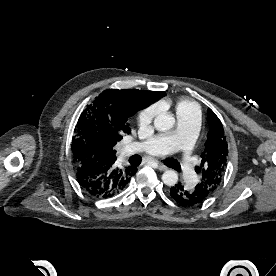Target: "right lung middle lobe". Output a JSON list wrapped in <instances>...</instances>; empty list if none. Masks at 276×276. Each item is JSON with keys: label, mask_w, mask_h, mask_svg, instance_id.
Returning <instances> with one entry per match:
<instances>
[{"label": "right lung middle lobe", "mask_w": 276, "mask_h": 276, "mask_svg": "<svg viewBox=\"0 0 276 276\" xmlns=\"http://www.w3.org/2000/svg\"><path fill=\"white\" fill-rule=\"evenodd\" d=\"M119 118L110 102L95 99L81 113L72 141L73 160L95 151L114 121Z\"/></svg>", "instance_id": "1"}]
</instances>
